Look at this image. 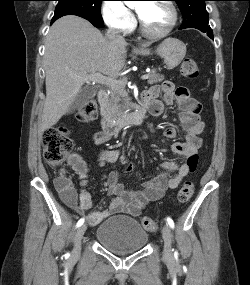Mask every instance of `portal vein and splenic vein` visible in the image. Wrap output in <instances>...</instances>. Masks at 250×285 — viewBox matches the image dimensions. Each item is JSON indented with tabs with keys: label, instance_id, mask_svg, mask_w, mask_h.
Returning <instances> with one entry per match:
<instances>
[{
	"label": "portal vein and splenic vein",
	"instance_id": "1",
	"mask_svg": "<svg viewBox=\"0 0 250 285\" xmlns=\"http://www.w3.org/2000/svg\"><path fill=\"white\" fill-rule=\"evenodd\" d=\"M148 74H144L141 76V79L142 80H146L148 79ZM86 81H94V82H97L99 84H104V85H107V86H116V85H121L124 83V79H116L115 77H107V76H104L102 75L101 73H95V74H92L90 75L89 77H86L85 78Z\"/></svg>",
	"mask_w": 250,
	"mask_h": 285
}]
</instances>
